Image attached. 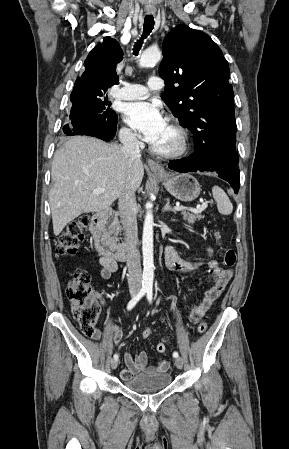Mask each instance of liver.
Segmentation results:
<instances>
[{
  "instance_id": "liver-1",
  "label": "liver",
  "mask_w": 289,
  "mask_h": 449,
  "mask_svg": "<svg viewBox=\"0 0 289 449\" xmlns=\"http://www.w3.org/2000/svg\"><path fill=\"white\" fill-rule=\"evenodd\" d=\"M140 159L130 166L117 145L99 139L75 136L53 157L49 203L54 235L83 213L109 208L125 191L135 192L143 179ZM96 188L104 193L94 194Z\"/></svg>"
}]
</instances>
